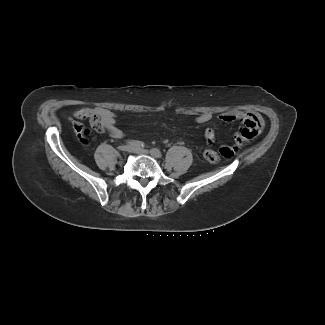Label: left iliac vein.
Listing matches in <instances>:
<instances>
[{
	"label": "left iliac vein",
	"mask_w": 325,
	"mask_h": 325,
	"mask_svg": "<svg viewBox=\"0 0 325 325\" xmlns=\"http://www.w3.org/2000/svg\"><path fill=\"white\" fill-rule=\"evenodd\" d=\"M132 151H133L134 153H137V154L151 155V156L154 157V158H159V157H161L159 154H157V153H153V152L148 151V150H145V149L133 148Z\"/></svg>",
	"instance_id": "1"
}]
</instances>
